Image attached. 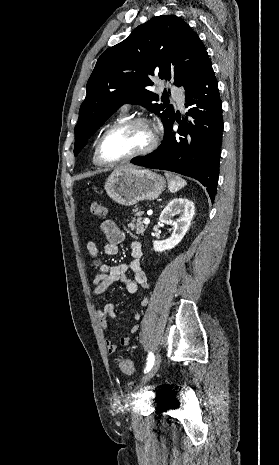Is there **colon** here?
Returning <instances> with one entry per match:
<instances>
[{"label":"colon","instance_id":"colon-1","mask_svg":"<svg viewBox=\"0 0 279 465\" xmlns=\"http://www.w3.org/2000/svg\"><path fill=\"white\" fill-rule=\"evenodd\" d=\"M90 211L93 217L100 218L105 214V207L98 202L91 204ZM121 371L126 375H132L135 372V366L132 360L123 358L119 362Z\"/></svg>","mask_w":279,"mask_h":465}]
</instances>
